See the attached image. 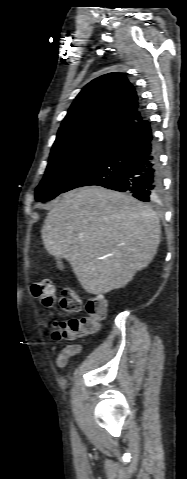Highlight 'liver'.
Wrapping results in <instances>:
<instances>
[{
	"instance_id": "liver-1",
	"label": "liver",
	"mask_w": 187,
	"mask_h": 479,
	"mask_svg": "<svg viewBox=\"0 0 187 479\" xmlns=\"http://www.w3.org/2000/svg\"><path fill=\"white\" fill-rule=\"evenodd\" d=\"M41 233L46 250L98 295L126 286L152 262L161 228L157 214L132 196L88 186L56 199Z\"/></svg>"
}]
</instances>
